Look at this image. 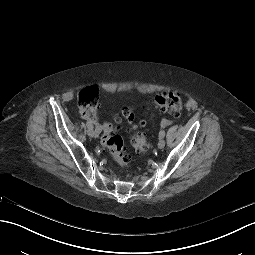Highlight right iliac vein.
<instances>
[{
  "label": "right iliac vein",
  "mask_w": 255,
  "mask_h": 255,
  "mask_svg": "<svg viewBox=\"0 0 255 255\" xmlns=\"http://www.w3.org/2000/svg\"><path fill=\"white\" fill-rule=\"evenodd\" d=\"M88 135L90 136V137H94L95 136V131H94V129L93 128H88Z\"/></svg>",
  "instance_id": "63e3f726"
}]
</instances>
